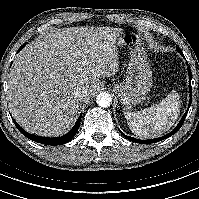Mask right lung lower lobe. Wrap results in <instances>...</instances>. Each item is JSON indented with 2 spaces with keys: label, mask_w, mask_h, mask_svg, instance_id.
Returning <instances> with one entry per match:
<instances>
[{
  "label": "right lung lower lobe",
  "mask_w": 199,
  "mask_h": 199,
  "mask_svg": "<svg viewBox=\"0 0 199 199\" xmlns=\"http://www.w3.org/2000/svg\"><path fill=\"white\" fill-rule=\"evenodd\" d=\"M23 47H24V45H22L18 51H20ZM81 116L82 115H80V117L78 118L74 127L67 134H65L61 137H57V138H47V137H40V136H35L32 134H29L28 132L24 131L14 119H13V121H14V124L16 125L17 129L25 137H27L28 139H30L32 141H35V142H38L41 144H46V145H62V144L69 142L77 133V131L79 129L80 121H81Z\"/></svg>",
  "instance_id": "right-lung-lower-lobe-1"
}]
</instances>
